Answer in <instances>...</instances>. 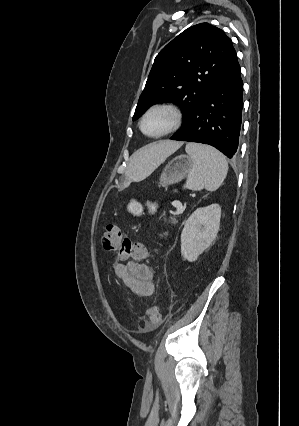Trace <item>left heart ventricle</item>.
Masks as SVG:
<instances>
[{
    "mask_svg": "<svg viewBox=\"0 0 299 426\" xmlns=\"http://www.w3.org/2000/svg\"><path fill=\"white\" fill-rule=\"evenodd\" d=\"M173 120V115L169 111L157 110L146 118L143 129L150 135L160 134L172 126Z\"/></svg>",
    "mask_w": 299,
    "mask_h": 426,
    "instance_id": "left-heart-ventricle-1",
    "label": "left heart ventricle"
}]
</instances>
